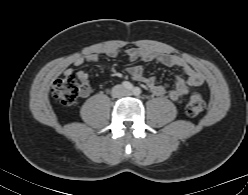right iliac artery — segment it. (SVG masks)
I'll return each mask as SVG.
<instances>
[{
    "label": "right iliac artery",
    "instance_id": "82829eb1",
    "mask_svg": "<svg viewBox=\"0 0 248 195\" xmlns=\"http://www.w3.org/2000/svg\"><path fill=\"white\" fill-rule=\"evenodd\" d=\"M122 86L127 89V90H133L134 86L132 83H130L129 81H123L122 82Z\"/></svg>",
    "mask_w": 248,
    "mask_h": 195
}]
</instances>
